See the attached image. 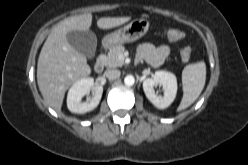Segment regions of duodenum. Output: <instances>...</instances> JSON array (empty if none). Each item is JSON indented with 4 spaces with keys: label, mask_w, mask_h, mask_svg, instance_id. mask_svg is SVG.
<instances>
[{
    "label": "duodenum",
    "mask_w": 248,
    "mask_h": 165,
    "mask_svg": "<svg viewBox=\"0 0 248 165\" xmlns=\"http://www.w3.org/2000/svg\"><path fill=\"white\" fill-rule=\"evenodd\" d=\"M104 68H105V59L103 53H101L94 63V71L99 74L103 72Z\"/></svg>",
    "instance_id": "obj_1"
}]
</instances>
